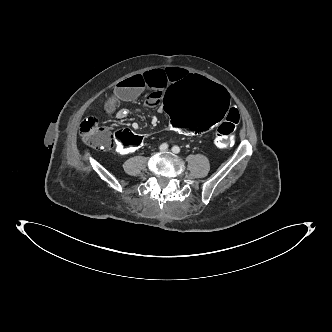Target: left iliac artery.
<instances>
[{
  "label": "left iliac artery",
  "mask_w": 332,
  "mask_h": 332,
  "mask_svg": "<svg viewBox=\"0 0 332 332\" xmlns=\"http://www.w3.org/2000/svg\"><path fill=\"white\" fill-rule=\"evenodd\" d=\"M172 152L175 153V154H178V153H180V148L178 146H173L172 147Z\"/></svg>",
  "instance_id": "obj_1"
}]
</instances>
